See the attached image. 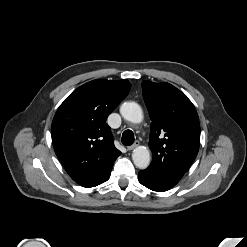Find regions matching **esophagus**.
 Segmentation results:
<instances>
[{
  "mask_svg": "<svg viewBox=\"0 0 247 247\" xmlns=\"http://www.w3.org/2000/svg\"><path fill=\"white\" fill-rule=\"evenodd\" d=\"M137 146H139V141H135L133 145L128 146L127 149L129 151L133 150L134 148H136Z\"/></svg>",
  "mask_w": 247,
  "mask_h": 247,
  "instance_id": "obj_1",
  "label": "esophagus"
}]
</instances>
